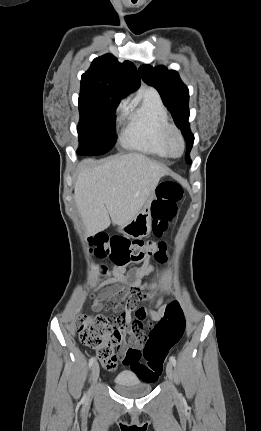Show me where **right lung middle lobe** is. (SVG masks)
I'll return each instance as SVG.
<instances>
[{
  "instance_id": "dd1d6c3e",
  "label": "right lung middle lobe",
  "mask_w": 261,
  "mask_h": 431,
  "mask_svg": "<svg viewBox=\"0 0 261 431\" xmlns=\"http://www.w3.org/2000/svg\"><path fill=\"white\" fill-rule=\"evenodd\" d=\"M121 99L109 92L81 88L77 127L80 155H101L115 145V111Z\"/></svg>"
}]
</instances>
